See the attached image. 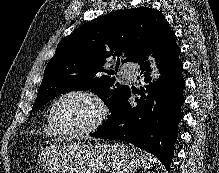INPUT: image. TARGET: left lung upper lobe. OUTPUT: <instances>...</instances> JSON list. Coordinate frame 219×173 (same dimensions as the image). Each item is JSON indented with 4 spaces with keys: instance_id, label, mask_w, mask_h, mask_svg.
Masks as SVG:
<instances>
[{
    "instance_id": "5c2ea615",
    "label": "left lung upper lobe",
    "mask_w": 219,
    "mask_h": 173,
    "mask_svg": "<svg viewBox=\"0 0 219 173\" xmlns=\"http://www.w3.org/2000/svg\"><path fill=\"white\" fill-rule=\"evenodd\" d=\"M172 32L164 15L147 7L119 10L83 25L58 44L32 111L67 91L92 89L113 112L129 87L104 74H115L103 68L106 59L119 62L125 56L136 62Z\"/></svg>"
}]
</instances>
